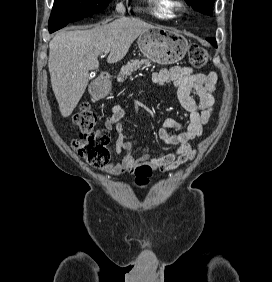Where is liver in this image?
<instances>
[{
    "label": "liver",
    "instance_id": "1",
    "mask_svg": "<svg viewBox=\"0 0 272 282\" xmlns=\"http://www.w3.org/2000/svg\"><path fill=\"white\" fill-rule=\"evenodd\" d=\"M154 26L134 17H120L88 30H61L49 44L51 85L63 117L72 114L83 96L89 71L99 66L98 56L110 49L109 63L127 54L131 44Z\"/></svg>",
    "mask_w": 272,
    "mask_h": 282
}]
</instances>
